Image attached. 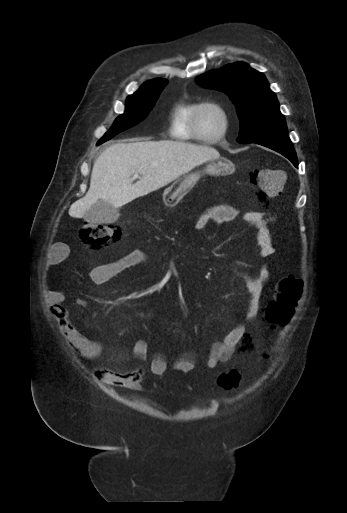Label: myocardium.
<instances>
[{
	"instance_id": "1",
	"label": "myocardium",
	"mask_w": 347,
	"mask_h": 513,
	"mask_svg": "<svg viewBox=\"0 0 347 513\" xmlns=\"http://www.w3.org/2000/svg\"><path fill=\"white\" fill-rule=\"evenodd\" d=\"M206 108L216 109L221 114V117L223 120V127H222L221 132L212 138L203 137L198 128L199 114L202 110H204ZM229 127H230V114H229V111L227 110V108L224 105H222L221 103L214 102V101H205V102H201L196 107L195 112L193 114L192 122H191V129H192V132L194 133V135H196L198 138L202 139L204 141V143L215 144V143L219 142L220 140L225 138V136L227 135V132L229 130Z\"/></svg>"
}]
</instances>
